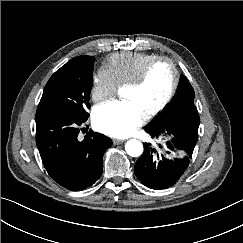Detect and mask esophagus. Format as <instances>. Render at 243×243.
I'll use <instances>...</instances> for the list:
<instances>
[{
    "label": "esophagus",
    "mask_w": 243,
    "mask_h": 243,
    "mask_svg": "<svg viewBox=\"0 0 243 243\" xmlns=\"http://www.w3.org/2000/svg\"><path fill=\"white\" fill-rule=\"evenodd\" d=\"M123 142H124V140H121V139H113L114 145H119V144H122Z\"/></svg>",
    "instance_id": "obj_1"
}]
</instances>
